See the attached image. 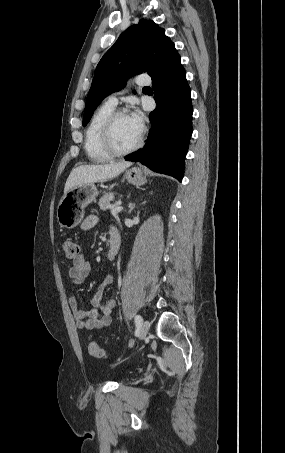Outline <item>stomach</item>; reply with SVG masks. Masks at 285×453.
<instances>
[{
  "label": "stomach",
  "instance_id": "0dacf381",
  "mask_svg": "<svg viewBox=\"0 0 285 453\" xmlns=\"http://www.w3.org/2000/svg\"><path fill=\"white\" fill-rule=\"evenodd\" d=\"M126 180L141 186L145 183V177L140 168H131L125 172ZM98 190L94 183L76 186L69 190L59 201L57 207V221L63 228H75L84 218V209L96 200Z\"/></svg>",
  "mask_w": 285,
  "mask_h": 453
}]
</instances>
